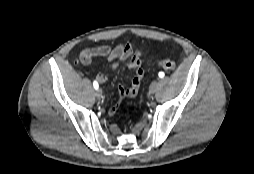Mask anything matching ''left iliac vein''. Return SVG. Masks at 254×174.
<instances>
[{"label": "left iliac vein", "instance_id": "left-iliac-vein-1", "mask_svg": "<svg viewBox=\"0 0 254 174\" xmlns=\"http://www.w3.org/2000/svg\"><path fill=\"white\" fill-rule=\"evenodd\" d=\"M159 87V83L158 82H153L151 85H150V88H149V92L151 94L155 93L157 91Z\"/></svg>", "mask_w": 254, "mask_h": 174}]
</instances>
